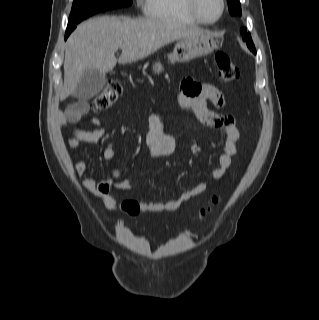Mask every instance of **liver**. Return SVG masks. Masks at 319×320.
I'll return each instance as SVG.
<instances>
[{"label":"liver","instance_id":"liver-1","mask_svg":"<svg viewBox=\"0 0 319 320\" xmlns=\"http://www.w3.org/2000/svg\"><path fill=\"white\" fill-rule=\"evenodd\" d=\"M202 33L201 29L161 19L123 16L89 19L79 24L67 40L60 100L74 92L86 72L97 70L105 74L117 62L127 64L144 59L170 42ZM118 49L122 53L117 60Z\"/></svg>","mask_w":319,"mask_h":320}]
</instances>
